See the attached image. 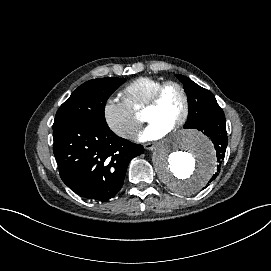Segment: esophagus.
<instances>
[{"mask_svg": "<svg viewBox=\"0 0 271 271\" xmlns=\"http://www.w3.org/2000/svg\"><path fill=\"white\" fill-rule=\"evenodd\" d=\"M155 145L156 144L154 142H148V143L144 144V148L146 150H153L155 148Z\"/></svg>", "mask_w": 271, "mask_h": 271, "instance_id": "obj_1", "label": "esophagus"}]
</instances>
